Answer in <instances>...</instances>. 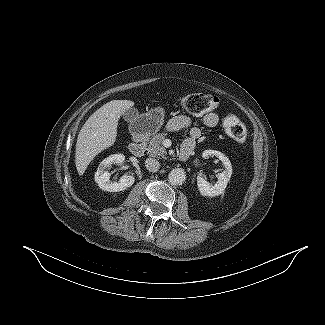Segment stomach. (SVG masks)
Instances as JSON below:
<instances>
[{"instance_id":"obj_1","label":"stomach","mask_w":325,"mask_h":325,"mask_svg":"<svg viewBox=\"0 0 325 325\" xmlns=\"http://www.w3.org/2000/svg\"><path fill=\"white\" fill-rule=\"evenodd\" d=\"M163 123L164 111L155 108L137 117L132 123L131 132L137 136H150L159 131Z\"/></svg>"}]
</instances>
